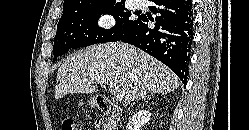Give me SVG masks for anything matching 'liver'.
<instances>
[{
  "instance_id": "6515ba94",
  "label": "liver",
  "mask_w": 249,
  "mask_h": 130,
  "mask_svg": "<svg viewBox=\"0 0 249 130\" xmlns=\"http://www.w3.org/2000/svg\"><path fill=\"white\" fill-rule=\"evenodd\" d=\"M93 79L111 80L124 91V105L147 94L176 90L179 78L140 49L117 42L88 47L68 56L58 69L55 99L98 91Z\"/></svg>"
}]
</instances>
